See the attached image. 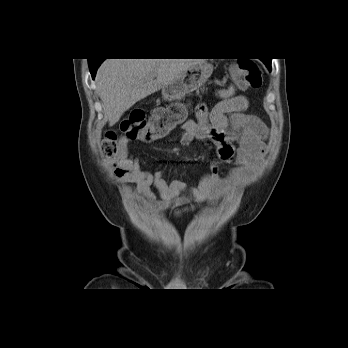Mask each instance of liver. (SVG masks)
<instances>
[{"label": "liver", "mask_w": 348, "mask_h": 348, "mask_svg": "<svg viewBox=\"0 0 348 348\" xmlns=\"http://www.w3.org/2000/svg\"><path fill=\"white\" fill-rule=\"evenodd\" d=\"M199 59H106L95 82L105 118L116 124L136 102L162 89Z\"/></svg>", "instance_id": "1"}]
</instances>
